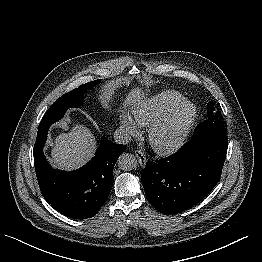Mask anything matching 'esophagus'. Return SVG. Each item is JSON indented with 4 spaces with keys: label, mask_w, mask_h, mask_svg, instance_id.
Here are the masks:
<instances>
[{
    "label": "esophagus",
    "mask_w": 262,
    "mask_h": 262,
    "mask_svg": "<svg viewBox=\"0 0 262 262\" xmlns=\"http://www.w3.org/2000/svg\"><path fill=\"white\" fill-rule=\"evenodd\" d=\"M135 155L138 159L139 164L143 167L146 165L147 162V158L145 156V154L141 151V150H136L135 151Z\"/></svg>",
    "instance_id": "1"
}]
</instances>
